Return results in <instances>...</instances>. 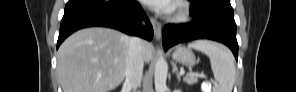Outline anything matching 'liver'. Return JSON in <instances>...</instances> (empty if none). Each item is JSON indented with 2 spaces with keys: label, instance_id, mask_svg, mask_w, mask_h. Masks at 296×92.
Here are the masks:
<instances>
[{
  "label": "liver",
  "instance_id": "liver-1",
  "mask_svg": "<svg viewBox=\"0 0 296 92\" xmlns=\"http://www.w3.org/2000/svg\"><path fill=\"white\" fill-rule=\"evenodd\" d=\"M130 37L119 31L93 27L79 30L59 47L57 73L63 92H109L124 80ZM153 45L143 41L149 62Z\"/></svg>",
  "mask_w": 296,
  "mask_h": 92
}]
</instances>
